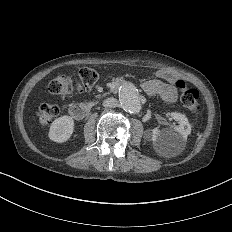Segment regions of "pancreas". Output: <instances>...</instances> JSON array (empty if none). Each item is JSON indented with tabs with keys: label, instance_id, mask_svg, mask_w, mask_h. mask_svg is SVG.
I'll return each instance as SVG.
<instances>
[{
	"label": "pancreas",
	"instance_id": "1",
	"mask_svg": "<svg viewBox=\"0 0 232 232\" xmlns=\"http://www.w3.org/2000/svg\"><path fill=\"white\" fill-rule=\"evenodd\" d=\"M96 97H97V98H99V97H100V95H97Z\"/></svg>",
	"mask_w": 232,
	"mask_h": 232
}]
</instances>
